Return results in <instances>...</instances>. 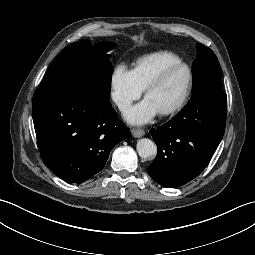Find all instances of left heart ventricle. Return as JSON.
Returning a JSON list of instances; mask_svg holds the SVG:
<instances>
[{"label": "left heart ventricle", "instance_id": "obj_1", "mask_svg": "<svg viewBox=\"0 0 255 255\" xmlns=\"http://www.w3.org/2000/svg\"><path fill=\"white\" fill-rule=\"evenodd\" d=\"M188 84V75L185 69H173L165 79L153 90L146 99L158 110L175 105L183 97Z\"/></svg>", "mask_w": 255, "mask_h": 255}]
</instances>
